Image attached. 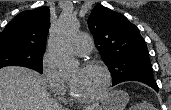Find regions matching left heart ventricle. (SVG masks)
<instances>
[{
  "label": "left heart ventricle",
  "instance_id": "1",
  "mask_svg": "<svg viewBox=\"0 0 171 110\" xmlns=\"http://www.w3.org/2000/svg\"><path fill=\"white\" fill-rule=\"evenodd\" d=\"M74 92L81 97L96 95L103 87V73L95 68L75 69L68 77Z\"/></svg>",
  "mask_w": 171,
  "mask_h": 110
}]
</instances>
